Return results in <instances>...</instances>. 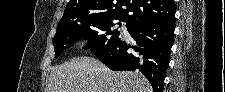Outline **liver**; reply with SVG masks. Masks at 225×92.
<instances>
[{"instance_id":"6515ba94","label":"liver","mask_w":225,"mask_h":92,"mask_svg":"<svg viewBox=\"0 0 225 92\" xmlns=\"http://www.w3.org/2000/svg\"><path fill=\"white\" fill-rule=\"evenodd\" d=\"M46 92H152V87L140 72L112 71L81 56L52 68Z\"/></svg>"}]
</instances>
